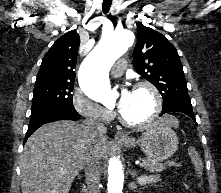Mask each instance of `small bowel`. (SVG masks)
Wrapping results in <instances>:
<instances>
[{
  "label": "small bowel",
  "instance_id": "1",
  "mask_svg": "<svg viewBox=\"0 0 221 193\" xmlns=\"http://www.w3.org/2000/svg\"><path fill=\"white\" fill-rule=\"evenodd\" d=\"M146 181H148V182H153V181H156V179L149 178V179H147Z\"/></svg>",
  "mask_w": 221,
  "mask_h": 193
}]
</instances>
